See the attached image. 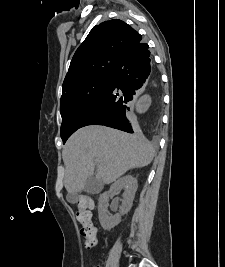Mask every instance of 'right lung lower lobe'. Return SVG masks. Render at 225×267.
Segmentation results:
<instances>
[{"label":"right lung lower lobe","instance_id":"obj_1","mask_svg":"<svg viewBox=\"0 0 225 267\" xmlns=\"http://www.w3.org/2000/svg\"><path fill=\"white\" fill-rule=\"evenodd\" d=\"M148 48V44L140 42L121 56L102 98L79 128L87 125H105L133 133L126 116L132 100L138 94L137 90L148 86H152L156 91L159 89V78Z\"/></svg>","mask_w":225,"mask_h":267}]
</instances>
